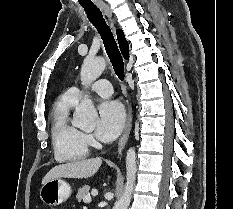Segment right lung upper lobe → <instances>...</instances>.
<instances>
[{"instance_id":"1","label":"right lung upper lobe","mask_w":233,"mask_h":209,"mask_svg":"<svg viewBox=\"0 0 233 209\" xmlns=\"http://www.w3.org/2000/svg\"><path fill=\"white\" fill-rule=\"evenodd\" d=\"M117 39H118L119 47H120L123 57L125 59H128L129 58V45L121 29L117 30Z\"/></svg>"}]
</instances>
